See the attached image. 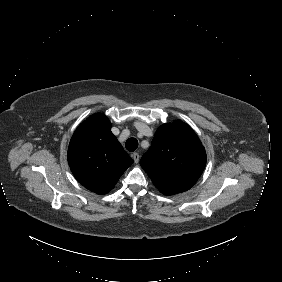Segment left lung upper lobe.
Masks as SVG:
<instances>
[{"label": "left lung upper lobe", "mask_w": 282, "mask_h": 282, "mask_svg": "<svg viewBox=\"0 0 282 282\" xmlns=\"http://www.w3.org/2000/svg\"><path fill=\"white\" fill-rule=\"evenodd\" d=\"M140 165L164 195L190 189L206 165V152L196 133L182 121L163 124Z\"/></svg>", "instance_id": "obj_1"}]
</instances>
